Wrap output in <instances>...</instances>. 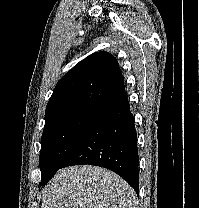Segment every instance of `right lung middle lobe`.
I'll return each mask as SVG.
<instances>
[{
    "instance_id": "obj_1",
    "label": "right lung middle lobe",
    "mask_w": 199,
    "mask_h": 208,
    "mask_svg": "<svg viewBox=\"0 0 199 208\" xmlns=\"http://www.w3.org/2000/svg\"><path fill=\"white\" fill-rule=\"evenodd\" d=\"M99 109L74 108L45 120L39 158L41 182L49 181L60 169Z\"/></svg>"
}]
</instances>
